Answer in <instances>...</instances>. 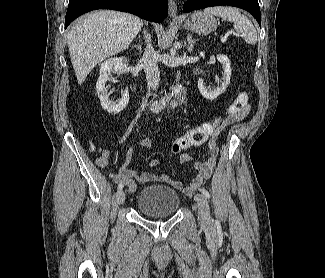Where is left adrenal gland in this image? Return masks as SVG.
<instances>
[{
	"mask_svg": "<svg viewBox=\"0 0 325 278\" xmlns=\"http://www.w3.org/2000/svg\"><path fill=\"white\" fill-rule=\"evenodd\" d=\"M187 41H188V45H187V51L189 53H191L194 49V45L195 43L198 41V40H195L192 38V35L191 34H188L187 36Z\"/></svg>",
	"mask_w": 325,
	"mask_h": 278,
	"instance_id": "a2214340",
	"label": "left adrenal gland"
}]
</instances>
